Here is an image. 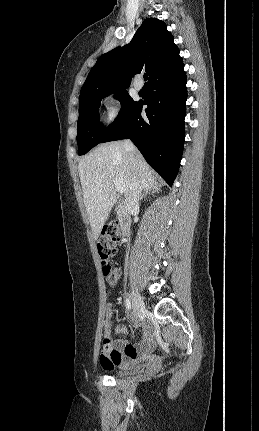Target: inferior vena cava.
Listing matches in <instances>:
<instances>
[{"instance_id":"obj_1","label":"inferior vena cava","mask_w":259,"mask_h":431,"mask_svg":"<svg viewBox=\"0 0 259 431\" xmlns=\"http://www.w3.org/2000/svg\"><path fill=\"white\" fill-rule=\"evenodd\" d=\"M124 147H125L126 151L129 153L131 162L133 163V165H135L136 164V159H135V155H134L135 147H134L133 143L130 140H126L124 142ZM141 191H142V188L140 186V183L138 181H136L132 192L130 193V195L126 199L125 208H126V211L128 212V214H131L136 208H138L139 200L141 199Z\"/></svg>"}]
</instances>
